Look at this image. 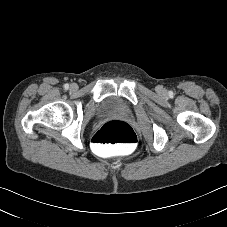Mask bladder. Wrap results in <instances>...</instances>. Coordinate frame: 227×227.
<instances>
[{
  "label": "bladder",
  "instance_id": "1",
  "mask_svg": "<svg viewBox=\"0 0 227 227\" xmlns=\"http://www.w3.org/2000/svg\"><path fill=\"white\" fill-rule=\"evenodd\" d=\"M97 113L99 115H123L127 113V109L120 97L113 96L100 103Z\"/></svg>",
  "mask_w": 227,
  "mask_h": 227
}]
</instances>
